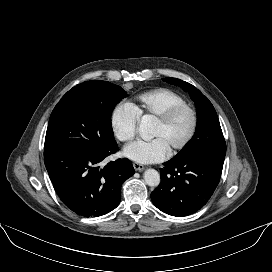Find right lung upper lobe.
<instances>
[{
    "mask_svg": "<svg viewBox=\"0 0 272 272\" xmlns=\"http://www.w3.org/2000/svg\"><path fill=\"white\" fill-rule=\"evenodd\" d=\"M82 84H83V83H81V84H79V85L73 87L69 92L80 89V88L82 87Z\"/></svg>",
    "mask_w": 272,
    "mask_h": 272,
    "instance_id": "right-lung-upper-lobe-1",
    "label": "right lung upper lobe"
}]
</instances>
